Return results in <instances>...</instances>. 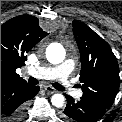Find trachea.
<instances>
[{
    "instance_id": "1",
    "label": "trachea",
    "mask_w": 122,
    "mask_h": 122,
    "mask_svg": "<svg viewBox=\"0 0 122 122\" xmlns=\"http://www.w3.org/2000/svg\"><path fill=\"white\" fill-rule=\"evenodd\" d=\"M28 82L31 83V84H35L36 85V84H38L39 81L36 78H34V77H29ZM52 85H53L54 88H56V89H58L60 91H64L65 90L64 87H62L58 83H53Z\"/></svg>"
}]
</instances>
